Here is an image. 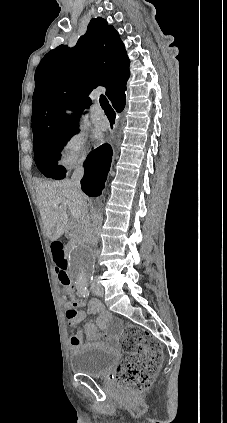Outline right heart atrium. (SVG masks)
Segmentation results:
<instances>
[{
	"mask_svg": "<svg viewBox=\"0 0 227 423\" xmlns=\"http://www.w3.org/2000/svg\"><path fill=\"white\" fill-rule=\"evenodd\" d=\"M89 158L88 140L81 133L69 134L61 144L57 164L66 171L84 166Z\"/></svg>",
	"mask_w": 227,
	"mask_h": 423,
	"instance_id": "right-heart-atrium-1",
	"label": "right heart atrium"
}]
</instances>
